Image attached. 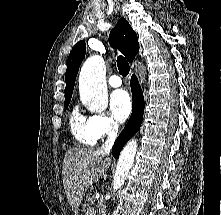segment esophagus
<instances>
[{"label": "esophagus", "mask_w": 221, "mask_h": 215, "mask_svg": "<svg viewBox=\"0 0 221 215\" xmlns=\"http://www.w3.org/2000/svg\"><path fill=\"white\" fill-rule=\"evenodd\" d=\"M133 74V69H131V71H130V75H132Z\"/></svg>", "instance_id": "34e87169"}]
</instances>
